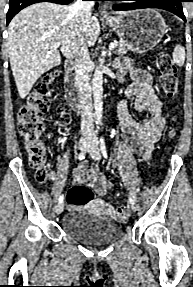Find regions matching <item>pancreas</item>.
Listing matches in <instances>:
<instances>
[{"instance_id": "pancreas-1", "label": "pancreas", "mask_w": 193, "mask_h": 287, "mask_svg": "<svg viewBox=\"0 0 193 287\" xmlns=\"http://www.w3.org/2000/svg\"><path fill=\"white\" fill-rule=\"evenodd\" d=\"M115 48L118 55H123L127 52V44L125 41L116 42Z\"/></svg>"}]
</instances>
